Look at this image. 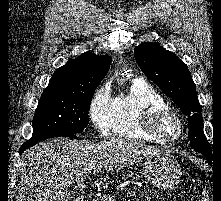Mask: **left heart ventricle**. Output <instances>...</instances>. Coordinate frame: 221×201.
Returning <instances> with one entry per match:
<instances>
[{
	"mask_svg": "<svg viewBox=\"0 0 221 201\" xmlns=\"http://www.w3.org/2000/svg\"><path fill=\"white\" fill-rule=\"evenodd\" d=\"M164 129L169 134H175L177 131V126L173 121H168L164 125Z\"/></svg>",
	"mask_w": 221,
	"mask_h": 201,
	"instance_id": "left-heart-ventricle-1",
	"label": "left heart ventricle"
}]
</instances>
